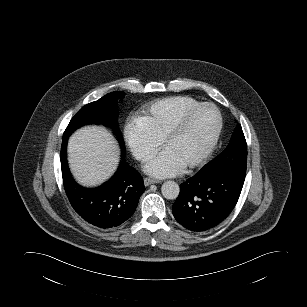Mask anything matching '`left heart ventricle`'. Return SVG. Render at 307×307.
Listing matches in <instances>:
<instances>
[{"label": "left heart ventricle", "instance_id": "1", "mask_svg": "<svg viewBox=\"0 0 307 307\" xmlns=\"http://www.w3.org/2000/svg\"><path fill=\"white\" fill-rule=\"evenodd\" d=\"M217 125L211 109H199L189 118L184 130L169 140L164 148L171 151L184 165L197 157L210 141Z\"/></svg>", "mask_w": 307, "mask_h": 307}]
</instances>
